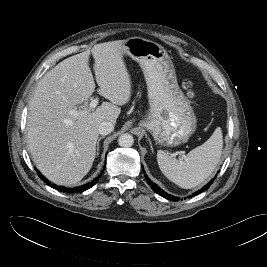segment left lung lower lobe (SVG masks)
Listing matches in <instances>:
<instances>
[{"label":"left lung lower lobe","instance_id":"left-lung-lower-lobe-1","mask_svg":"<svg viewBox=\"0 0 267 267\" xmlns=\"http://www.w3.org/2000/svg\"><path fill=\"white\" fill-rule=\"evenodd\" d=\"M142 169H143V172H145L143 166H142ZM145 178H146L148 184L150 185V187L152 188V190L154 192H156L157 194H159L160 196H162V197H164V198H166L168 200H171V201H178L179 200V198L171 196V195L167 194L165 191H163L157 184L153 183L147 177V175H145ZM215 178H216V176H215ZM213 181H214V178L210 181V183H208L202 189H200L199 191L195 192V194H193V196L198 195L199 193H202V191H204V190H207L209 188V186L213 183ZM191 197H192L191 195L188 196V198H191Z\"/></svg>","mask_w":267,"mask_h":267}]
</instances>
